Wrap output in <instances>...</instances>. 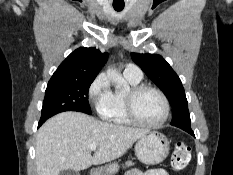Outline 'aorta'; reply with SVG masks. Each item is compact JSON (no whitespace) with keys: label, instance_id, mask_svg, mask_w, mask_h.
Wrapping results in <instances>:
<instances>
[{"label":"aorta","instance_id":"obj_1","mask_svg":"<svg viewBox=\"0 0 233 175\" xmlns=\"http://www.w3.org/2000/svg\"><path fill=\"white\" fill-rule=\"evenodd\" d=\"M108 77L115 83V88L119 89L125 84V80L116 69H109L107 71Z\"/></svg>","mask_w":233,"mask_h":175}]
</instances>
